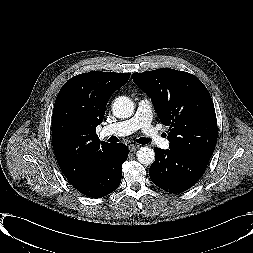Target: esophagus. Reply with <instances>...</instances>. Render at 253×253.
<instances>
[{
    "label": "esophagus",
    "instance_id": "obj_1",
    "mask_svg": "<svg viewBox=\"0 0 253 253\" xmlns=\"http://www.w3.org/2000/svg\"><path fill=\"white\" fill-rule=\"evenodd\" d=\"M139 147H140V145H137V144H130V145L128 146V148H129V150H130L131 152L136 151L137 149H139Z\"/></svg>",
    "mask_w": 253,
    "mask_h": 253
}]
</instances>
